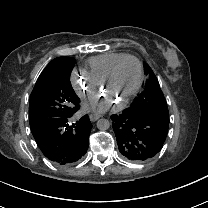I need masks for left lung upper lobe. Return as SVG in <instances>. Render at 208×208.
<instances>
[{"label":"left lung upper lobe","instance_id":"5c2ea615","mask_svg":"<svg viewBox=\"0 0 208 208\" xmlns=\"http://www.w3.org/2000/svg\"><path fill=\"white\" fill-rule=\"evenodd\" d=\"M148 80L144 90L125 110L139 115H151L169 122V113L164 95L160 89L158 79L148 64H145Z\"/></svg>","mask_w":208,"mask_h":208}]
</instances>
